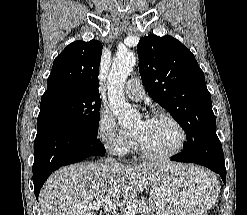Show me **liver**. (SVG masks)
Masks as SVG:
<instances>
[{
	"mask_svg": "<svg viewBox=\"0 0 247 215\" xmlns=\"http://www.w3.org/2000/svg\"><path fill=\"white\" fill-rule=\"evenodd\" d=\"M178 166L172 162L117 167L83 162L66 166L44 184L39 195L40 208L43 215H96L92 207L103 198L125 207L137 192L148 190L164 171Z\"/></svg>",
	"mask_w": 247,
	"mask_h": 215,
	"instance_id": "liver-1",
	"label": "liver"
}]
</instances>
